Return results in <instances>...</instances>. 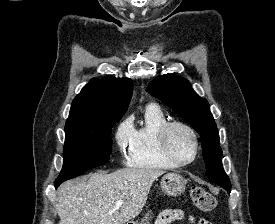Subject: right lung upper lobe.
I'll return each mask as SVG.
<instances>
[{
  "label": "right lung upper lobe",
  "instance_id": "right-lung-upper-lobe-1",
  "mask_svg": "<svg viewBox=\"0 0 275 224\" xmlns=\"http://www.w3.org/2000/svg\"><path fill=\"white\" fill-rule=\"evenodd\" d=\"M132 89L129 78H92L74 98L66 125L120 119L127 110Z\"/></svg>",
  "mask_w": 275,
  "mask_h": 224
}]
</instances>
